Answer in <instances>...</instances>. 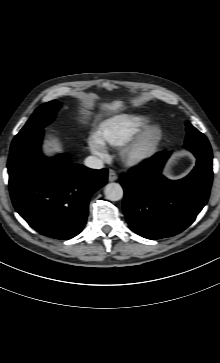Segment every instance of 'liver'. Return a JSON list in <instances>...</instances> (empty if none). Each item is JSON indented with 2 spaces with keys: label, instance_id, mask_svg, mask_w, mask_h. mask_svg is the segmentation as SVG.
I'll list each match as a JSON object with an SVG mask.
<instances>
[{
  "label": "liver",
  "instance_id": "liver-1",
  "mask_svg": "<svg viewBox=\"0 0 220 363\" xmlns=\"http://www.w3.org/2000/svg\"><path fill=\"white\" fill-rule=\"evenodd\" d=\"M106 109H109L111 111H117L119 109H121L123 107V102L121 101H114L110 104H104L103 105ZM48 146H52V143H48ZM51 151V149H49L48 147H46L45 152L49 153Z\"/></svg>",
  "mask_w": 220,
  "mask_h": 363
}]
</instances>
